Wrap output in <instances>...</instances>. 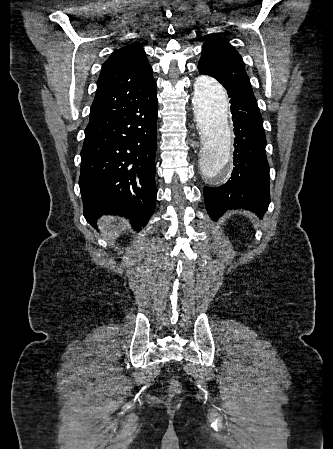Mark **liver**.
Returning a JSON list of instances; mask_svg holds the SVG:
<instances>
[{
	"instance_id": "1",
	"label": "liver",
	"mask_w": 333,
	"mask_h": 449,
	"mask_svg": "<svg viewBox=\"0 0 333 449\" xmlns=\"http://www.w3.org/2000/svg\"><path fill=\"white\" fill-rule=\"evenodd\" d=\"M113 218L111 216H103L100 220V224L102 225L103 229L108 230L109 232L112 231L115 235L118 234L120 230V226L116 227L112 225Z\"/></svg>"
}]
</instances>
